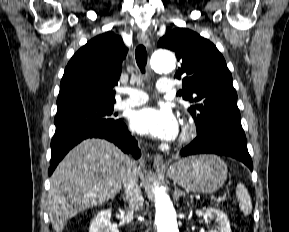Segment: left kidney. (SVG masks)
Returning <instances> with one entry per match:
<instances>
[{
  "label": "left kidney",
  "mask_w": 289,
  "mask_h": 232,
  "mask_svg": "<svg viewBox=\"0 0 289 232\" xmlns=\"http://www.w3.org/2000/svg\"><path fill=\"white\" fill-rule=\"evenodd\" d=\"M205 217L215 219L218 225V230H214L211 232H231L229 219L223 211L211 207L206 210Z\"/></svg>",
  "instance_id": "5707ae66"
}]
</instances>
